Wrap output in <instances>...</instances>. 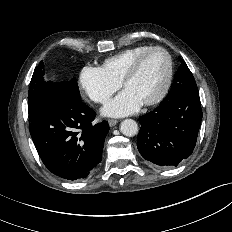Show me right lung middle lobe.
Returning <instances> with one entry per match:
<instances>
[{
    "mask_svg": "<svg viewBox=\"0 0 232 232\" xmlns=\"http://www.w3.org/2000/svg\"><path fill=\"white\" fill-rule=\"evenodd\" d=\"M44 63L40 62L39 66H37L34 70L30 87H29V95H28V109H29V121H31L35 115V113L39 110V102L41 98L46 94L52 82L44 80ZM67 83V82H65ZM73 91L80 96L78 85L75 79L67 83Z\"/></svg>",
    "mask_w": 232,
    "mask_h": 232,
    "instance_id": "1",
    "label": "right lung middle lobe"
}]
</instances>
